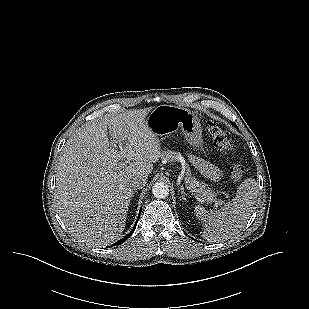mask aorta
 I'll list each match as a JSON object with an SVG mask.
<instances>
[{"mask_svg": "<svg viewBox=\"0 0 309 309\" xmlns=\"http://www.w3.org/2000/svg\"><path fill=\"white\" fill-rule=\"evenodd\" d=\"M152 193L158 199L166 198L169 194L168 185L163 182H157L152 187Z\"/></svg>", "mask_w": 309, "mask_h": 309, "instance_id": "obj_1", "label": "aorta"}]
</instances>
